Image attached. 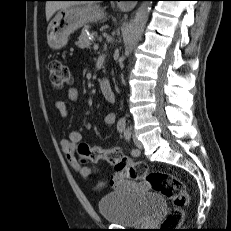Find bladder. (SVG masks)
Instances as JSON below:
<instances>
[{
	"label": "bladder",
	"instance_id": "obj_1",
	"mask_svg": "<svg viewBox=\"0 0 231 231\" xmlns=\"http://www.w3.org/2000/svg\"><path fill=\"white\" fill-rule=\"evenodd\" d=\"M97 207L107 222L141 226L160 215L166 208V201L157 193L112 192L102 197Z\"/></svg>",
	"mask_w": 231,
	"mask_h": 231
}]
</instances>
